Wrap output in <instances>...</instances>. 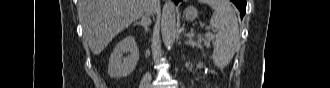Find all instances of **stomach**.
I'll return each instance as SVG.
<instances>
[{"label": "stomach", "instance_id": "obj_1", "mask_svg": "<svg viewBox=\"0 0 330 88\" xmlns=\"http://www.w3.org/2000/svg\"><path fill=\"white\" fill-rule=\"evenodd\" d=\"M184 17L186 20L188 21H193L197 18L198 16V11L195 7L190 6L188 8L185 9L184 13H183Z\"/></svg>", "mask_w": 330, "mask_h": 88}]
</instances>
